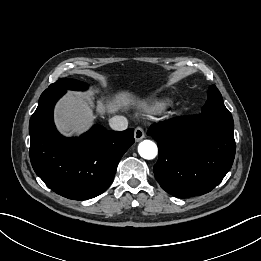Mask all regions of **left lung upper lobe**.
<instances>
[{"label":"left lung upper lobe","instance_id":"obj_1","mask_svg":"<svg viewBox=\"0 0 261 261\" xmlns=\"http://www.w3.org/2000/svg\"><path fill=\"white\" fill-rule=\"evenodd\" d=\"M201 114L220 117H231V113L225 107L223 98L215 85L209 87L208 100L202 107Z\"/></svg>","mask_w":261,"mask_h":261}]
</instances>
